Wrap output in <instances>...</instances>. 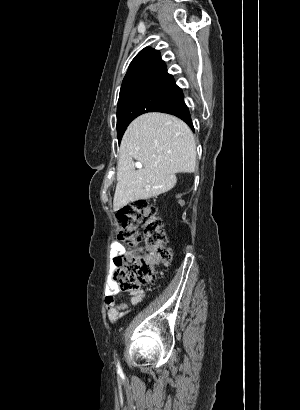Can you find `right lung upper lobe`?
<instances>
[{
  "mask_svg": "<svg viewBox=\"0 0 300 410\" xmlns=\"http://www.w3.org/2000/svg\"><path fill=\"white\" fill-rule=\"evenodd\" d=\"M174 82L157 50L145 48L132 60L121 90L140 83Z\"/></svg>",
  "mask_w": 300,
  "mask_h": 410,
  "instance_id": "1",
  "label": "right lung upper lobe"
}]
</instances>
